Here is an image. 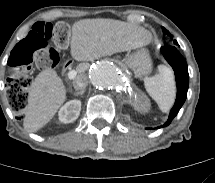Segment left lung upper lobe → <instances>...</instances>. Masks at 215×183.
<instances>
[{
  "label": "left lung upper lobe",
  "mask_w": 215,
  "mask_h": 183,
  "mask_svg": "<svg viewBox=\"0 0 215 183\" xmlns=\"http://www.w3.org/2000/svg\"><path fill=\"white\" fill-rule=\"evenodd\" d=\"M163 33L171 36V34L165 28H163ZM173 42L178 45V43L175 40Z\"/></svg>",
  "instance_id": "1"
}]
</instances>
